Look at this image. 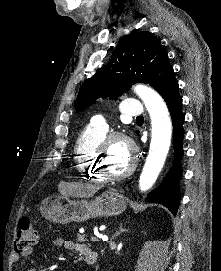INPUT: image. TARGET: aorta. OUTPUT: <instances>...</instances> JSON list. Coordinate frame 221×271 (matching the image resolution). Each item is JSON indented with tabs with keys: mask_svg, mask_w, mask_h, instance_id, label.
Masks as SVG:
<instances>
[{
	"mask_svg": "<svg viewBox=\"0 0 221 271\" xmlns=\"http://www.w3.org/2000/svg\"><path fill=\"white\" fill-rule=\"evenodd\" d=\"M134 91L143 101L152 126L150 149L139 179L140 190L146 191L156 182L163 168L171 143L172 122L166 103L155 90L137 85Z\"/></svg>",
	"mask_w": 221,
	"mask_h": 271,
	"instance_id": "762f6f07",
	"label": "aorta"
}]
</instances>
